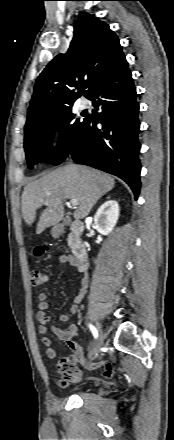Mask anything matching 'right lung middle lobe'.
Here are the masks:
<instances>
[{
  "label": "right lung middle lobe",
  "mask_w": 174,
  "mask_h": 440,
  "mask_svg": "<svg viewBox=\"0 0 174 440\" xmlns=\"http://www.w3.org/2000/svg\"><path fill=\"white\" fill-rule=\"evenodd\" d=\"M85 121L74 120L71 108L25 131L24 148L28 166L33 168L38 162L58 165L68 156L71 145L80 135ZM60 132L59 147L53 149L50 138L55 131Z\"/></svg>",
  "instance_id": "obj_1"
}]
</instances>
